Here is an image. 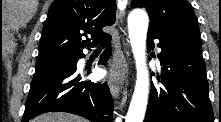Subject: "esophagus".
<instances>
[{
    "label": "esophagus",
    "mask_w": 221,
    "mask_h": 122,
    "mask_svg": "<svg viewBox=\"0 0 221 122\" xmlns=\"http://www.w3.org/2000/svg\"><path fill=\"white\" fill-rule=\"evenodd\" d=\"M129 71V62L123 51L117 49L113 63L111 65L108 84L111 94L117 98L119 93L124 89V83L127 81Z\"/></svg>",
    "instance_id": "obj_1"
}]
</instances>
